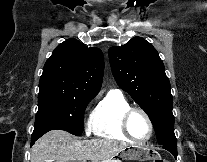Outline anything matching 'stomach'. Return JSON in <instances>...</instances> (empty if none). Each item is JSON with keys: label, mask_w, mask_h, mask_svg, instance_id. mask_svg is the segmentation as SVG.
I'll use <instances>...</instances> for the list:
<instances>
[{"label": "stomach", "mask_w": 207, "mask_h": 162, "mask_svg": "<svg viewBox=\"0 0 207 162\" xmlns=\"http://www.w3.org/2000/svg\"><path fill=\"white\" fill-rule=\"evenodd\" d=\"M162 160L160 155L146 147H126L111 162Z\"/></svg>", "instance_id": "obj_1"}]
</instances>
